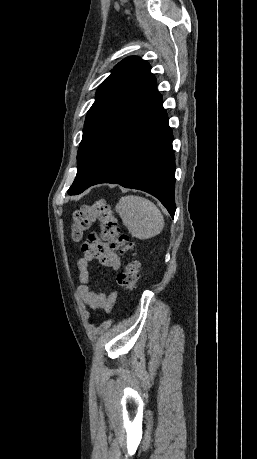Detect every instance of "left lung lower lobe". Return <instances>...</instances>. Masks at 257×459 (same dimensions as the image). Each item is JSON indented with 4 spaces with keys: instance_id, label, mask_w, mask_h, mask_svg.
Listing matches in <instances>:
<instances>
[{
    "instance_id": "obj_1",
    "label": "left lung lower lobe",
    "mask_w": 257,
    "mask_h": 459,
    "mask_svg": "<svg viewBox=\"0 0 257 459\" xmlns=\"http://www.w3.org/2000/svg\"><path fill=\"white\" fill-rule=\"evenodd\" d=\"M172 139L154 78L106 135L101 166L90 186L117 183L126 188L143 190L158 198L174 217L175 158Z\"/></svg>"
}]
</instances>
